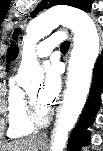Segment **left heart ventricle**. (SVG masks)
Segmentation results:
<instances>
[{
  "instance_id": "left-heart-ventricle-1",
  "label": "left heart ventricle",
  "mask_w": 103,
  "mask_h": 151,
  "mask_svg": "<svg viewBox=\"0 0 103 151\" xmlns=\"http://www.w3.org/2000/svg\"><path fill=\"white\" fill-rule=\"evenodd\" d=\"M38 91H39V85H34L27 90L28 94L30 95V97L32 98V100L34 101L37 107L38 113L40 115H43L46 113L47 109L38 103V100H37Z\"/></svg>"
}]
</instances>
